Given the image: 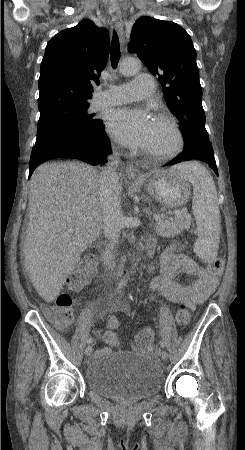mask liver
<instances>
[{
  "instance_id": "1",
  "label": "liver",
  "mask_w": 245,
  "mask_h": 450,
  "mask_svg": "<svg viewBox=\"0 0 245 450\" xmlns=\"http://www.w3.org/2000/svg\"><path fill=\"white\" fill-rule=\"evenodd\" d=\"M28 213L25 268L38 294L52 302L101 232L99 173L79 162L40 165L30 180Z\"/></svg>"
}]
</instances>
